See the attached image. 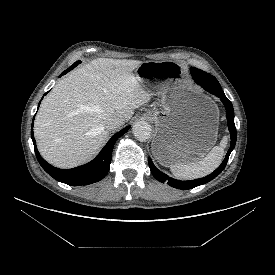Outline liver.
<instances>
[{
	"label": "liver",
	"mask_w": 275,
	"mask_h": 275,
	"mask_svg": "<svg viewBox=\"0 0 275 275\" xmlns=\"http://www.w3.org/2000/svg\"><path fill=\"white\" fill-rule=\"evenodd\" d=\"M137 60L98 58L61 79L43 100L34 134L42 157L59 168L89 161L109 136L108 118L128 121L151 94L133 71Z\"/></svg>",
	"instance_id": "obj_1"
}]
</instances>
